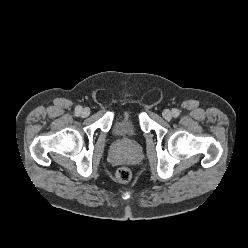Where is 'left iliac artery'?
Segmentation results:
<instances>
[{
    "instance_id": "44dca946",
    "label": "left iliac artery",
    "mask_w": 248,
    "mask_h": 248,
    "mask_svg": "<svg viewBox=\"0 0 248 248\" xmlns=\"http://www.w3.org/2000/svg\"><path fill=\"white\" fill-rule=\"evenodd\" d=\"M172 113H173V116H174V117H178L179 114H180V112H179L178 109H173V110H172Z\"/></svg>"
}]
</instances>
